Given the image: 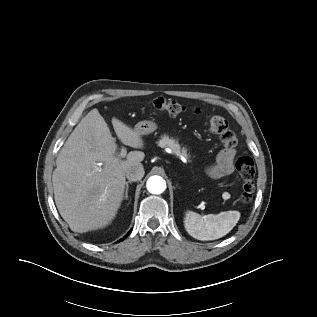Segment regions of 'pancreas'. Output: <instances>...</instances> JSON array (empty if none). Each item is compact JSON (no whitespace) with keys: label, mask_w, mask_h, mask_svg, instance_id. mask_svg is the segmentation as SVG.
I'll use <instances>...</instances> for the list:
<instances>
[{"label":"pancreas","mask_w":317,"mask_h":317,"mask_svg":"<svg viewBox=\"0 0 317 317\" xmlns=\"http://www.w3.org/2000/svg\"><path fill=\"white\" fill-rule=\"evenodd\" d=\"M158 145L162 148H170L177 155L189 158V154H187V149L183 148L181 150L178 142L172 138H169L168 136H163L162 139L158 142Z\"/></svg>","instance_id":"1"}]
</instances>
